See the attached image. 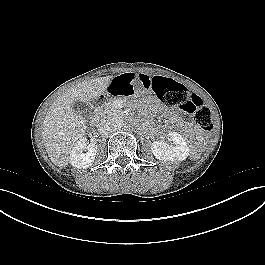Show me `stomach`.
Here are the masks:
<instances>
[{"instance_id": "1", "label": "stomach", "mask_w": 265, "mask_h": 265, "mask_svg": "<svg viewBox=\"0 0 265 265\" xmlns=\"http://www.w3.org/2000/svg\"><path fill=\"white\" fill-rule=\"evenodd\" d=\"M131 81L134 83L136 93H145L150 88V79L145 74H136Z\"/></svg>"}]
</instances>
